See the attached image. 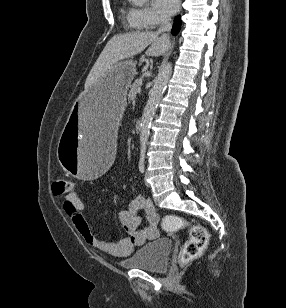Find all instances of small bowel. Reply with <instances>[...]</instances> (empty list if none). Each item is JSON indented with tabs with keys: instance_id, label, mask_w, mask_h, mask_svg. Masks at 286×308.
<instances>
[{
	"instance_id": "c3829d8e",
	"label": "small bowel",
	"mask_w": 286,
	"mask_h": 308,
	"mask_svg": "<svg viewBox=\"0 0 286 308\" xmlns=\"http://www.w3.org/2000/svg\"><path fill=\"white\" fill-rule=\"evenodd\" d=\"M63 207L85 242L111 256H127L147 240L156 239L159 234V215L151 199L143 195L134 198L129 209L119 213L120 223L128 234L127 237L120 240L100 237L88 218L83 215L85 204L76 193L68 194L64 198ZM139 211H143L145 214L146 224L143 227H141L142 219L138 214Z\"/></svg>"
}]
</instances>
